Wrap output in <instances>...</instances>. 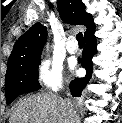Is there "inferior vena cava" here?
Segmentation results:
<instances>
[{
    "label": "inferior vena cava",
    "instance_id": "602c4592",
    "mask_svg": "<svg viewBox=\"0 0 122 123\" xmlns=\"http://www.w3.org/2000/svg\"><path fill=\"white\" fill-rule=\"evenodd\" d=\"M65 106L69 110L70 113L73 112V105H72L71 100L69 98L65 99Z\"/></svg>",
    "mask_w": 122,
    "mask_h": 123
}]
</instances>
